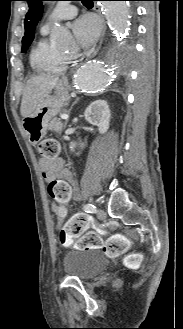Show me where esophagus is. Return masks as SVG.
Wrapping results in <instances>:
<instances>
[{
  "label": "esophagus",
  "mask_w": 183,
  "mask_h": 329,
  "mask_svg": "<svg viewBox=\"0 0 183 329\" xmlns=\"http://www.w3.org/2000/svg\"><path fill=\"white\" fill-rule=\"evenodd\" d=\"M96 11L98 13V15L100 16V19H101V25H102V35H101V39H100V42H99V45L97 47L96 50H94L91 54L88 55L87 59L88 58H91L93 56H95L98 52V49L100 48L101 44L103 43V39H104V36H105V31H106V23H105V19L101 13V10L100 8L96 7Z\"/></svg>",
  "instance_id": "34e87169"
}]
</instances>
